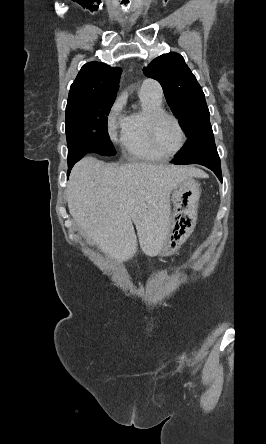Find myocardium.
<instances>
[{"mask_svg":"<svg viewBox=\"0 0 266 444\" xmlns=\"http://www.w3.org/2000/svg\"><path fill=\"white\" fill-rule=\"evenodd\" d=\"M163 118H170V119H172L175 122V124H176V126H177V128L179 130L180 143H179L178 148L174 152H172V153H165V152H163L159 148V146L157 144V141H156V136H155L156 126H157L158 122L161 119H163ZM147 135H148V139H149V142H150L152 148L158 154H160V155H162L164 157H169V156H173V155H176V154L180 153L183 150V148H184V146L186 144V134H185L184 128H183L180 120L178 119L177 116H175L174 114H172L170 112H167L165 110H158V111L152 112L148 116V119H147Z\"/></svg>","mask_w":266,"mask_h":444,"instance_id":"f54148a6","label":"myocardium"}]
</instances>
